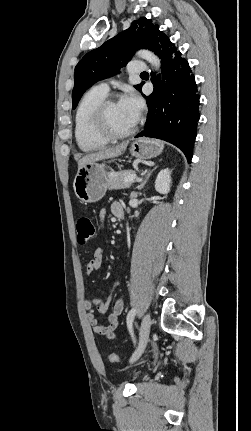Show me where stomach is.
I'll return each instance as SVG.
<instances>
[{
  "instance_id": "stomach-1",
  "label": "stomach",
  "mask_w": 251,
  "mask_h": 431,
  "mask_svg": "<svg viewBox=\"0 0 251 431\" xmlns=\"http://www.w3.org/2000/svg\"><path fill=\"white\" fill-rule=\"evenodd\" d=\"M163 143L151 139H136L130 153L138 159H151L161 154ZM104 163L91 162L78 169L73 188L77 198L83 203H94L102 199L107 191L108 172Z\"/></svg>"
}]
</instances>
